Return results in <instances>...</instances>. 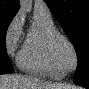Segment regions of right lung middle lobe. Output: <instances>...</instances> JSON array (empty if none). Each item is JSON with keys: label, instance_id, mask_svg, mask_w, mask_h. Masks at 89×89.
<instances>
[{"label": "right lung middle lobe", "instance_id": "1", "mask_svg": "<svg viewBox=\"0 0 89 89\" xmlns=\"http://www.w3.org/2000/svg\"><path fill=\"white\" fill-rule=\"evenodd\" d=\"M14 16L0 15V74L13 73V66L6 51V31Z\"/></svg>", "mask_w": 89, "mask_h": 89}]
</instances>
